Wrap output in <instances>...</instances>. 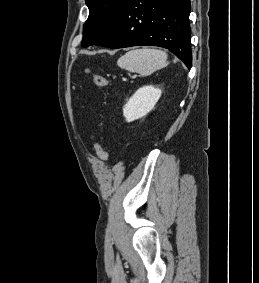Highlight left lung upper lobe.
<instances>
[{
  "mask_svg": "<svg viewBox=\"0 0 259 283\" xmlns=\"http://www.w3.org/2000/svg\"><path fill=\"white\" fill-rule=\"evenodd\" d=\"M89 17L83 26L82 46L103 39L116 22L127 0H85Z\"/></svg>",
  "mask_w": 259,
  "mask_h": 283,
  "instance_id": "obj_1",
  "label": "left lung upper lobe"
}]
</instances>
